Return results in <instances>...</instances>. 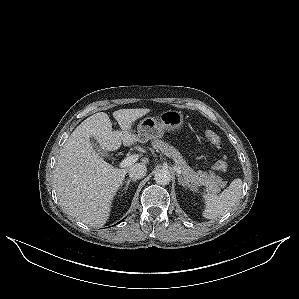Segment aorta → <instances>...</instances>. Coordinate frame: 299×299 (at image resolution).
Masks as SVG:
<instances>
[{"label": "aorta", "instance_id": "762f6f07", "mask_svg": "<svg viewBox=\"0 0 299 299\" xmlns=\"http://www.w3.org/2000/svg\"><path fill=\"white\" fill-rule=\"evenodd\" d=\"M154 179L157 184L167 185L171 181V175L167 169H159L155 172Z\"/></svg>", "mask_w": 299, "mask_h": 299}]
</instances>
